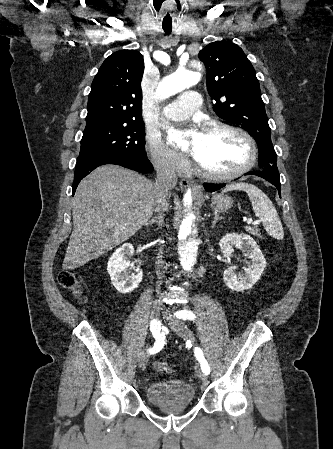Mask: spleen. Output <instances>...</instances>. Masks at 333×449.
Wrapping results in <instances>:
<instances>
[{"mask_svg":"<svg viewBox=\"0 0 333 449\" xmlns=\"http://www.w3.org/2000/svg\"><path fill=\"white\" fill-rule=\"evenodd\" d=\"M232 190H243L248 194L255 215L262 219L267 233L276 239H282L284 236L283 226L268 196L258 187L248 183H235L228 185L223 192Z\"/></svg>","mask_w":333,"mask_h":449,"instance_id":"spleen-1","label":"spleen"}]
</instances>
